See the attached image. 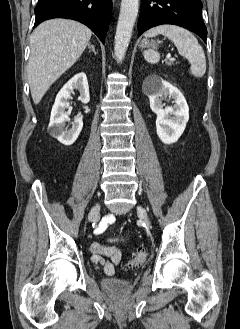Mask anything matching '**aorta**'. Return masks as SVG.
<instances>
[{"label": "aorta", "mask_w": 240, "mask_h": 329, "mask_svg": "<svg viewBox=\"0 0 240 329\" xmlns=\"http://www.w3.org/2000/svg\"><path fill=\"white\" fill-rule=\"evenodd\" d=\"M139 0H122L120 14L118 18L114 52L118 61L124 59L126 50L128 48L134 23L138 14Z\"/></svg>", "instance_id": "aorta-1"}]
</instances>
